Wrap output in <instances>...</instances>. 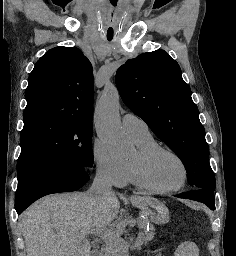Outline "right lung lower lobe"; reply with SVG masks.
<instances>
[{
  "label": "right lung lower lobe",
  "mask_w": 236,
  "mask_h": 256,
  "mask_svg": "<svg viewBox=\"0 0 236 256\" xmlns=\"http://www.w3.org/2000/svg\"><path fill=\"white\" fill-rule=\"evenodd\" d=\"M89 169L75 165L39 170L18 182L15 208L21 214L37 199L53 193L76 191L88 180Z\"/></svg>",
  "instance_id": "98d812e1"
}]
</instances>
